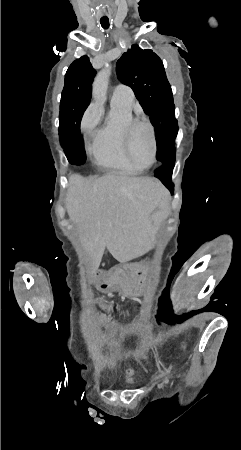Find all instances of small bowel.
Returning a JSON list of instances; mask_svg holds the SVG:
<instances>
[{"mask_svg":"<svg viewBox=\"0 0 241 450\" xmlns=\"http://www.w3.org/2000/svg\"><path fill=\"white\" fill-rule=\"evenodd\" d=\"M99 287L102 289V290H104V291H107V290H109L110 289V284L109 283H101V285H99Z\"/></svg>","mask_w":241,"mask_h":450,"instance_id":"1","label":"small bowel"}]
</instances>
